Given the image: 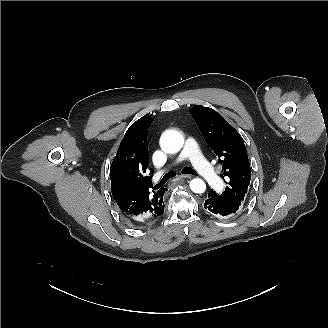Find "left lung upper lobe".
<instances>
[{
    "instance_id": "1",
    "label": "left lung upper lobe",
    "mask_w": 328,
    "mask_h": 328,
    "mask_svg": "<svg viewBox=\"0 0 328 328\" xmlns=\"http://www.w3.org/2000/svg\"><path fill=\"white\" fill-rule=\"evenodd\" d=\"M209 147L219 157L227 184L220 195H212L237 211L244 201L251 179L250 164L241 135L215 110L197 105L190 110Z\"/></svg>"
}]
</instances>
